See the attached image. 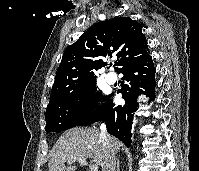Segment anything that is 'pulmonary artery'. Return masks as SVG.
I'll list each match as a JSON object with an SVG mask.
<instances>
[{
    "label": "pulmonary artery",
    "instance_id": "obj_1",
    "mask_svg": "<svg viewBox=\"0 0 199 171\" xmlns=\"http://www.w3.org/2000/svg\"><path fill=\"white\" fill-rule=\"evenodd\" d=\"M105 80H106V82L108 83V84H114L115 82H116V77L113 75V74H111V73H109V74H107L106 76H105Z\"/></svg>",
    "mask_w": 199,
    "mask_h": 171
}]
</instances>
